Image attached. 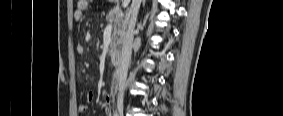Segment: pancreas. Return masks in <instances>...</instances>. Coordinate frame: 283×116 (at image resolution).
I'll list each match as a JSON object with an SVG mask.
<instances>
[{"label":"pancreas","mask_w":283,"mask_h":116,"mask_svg":"<svg viewBox=\"0 0 283 116\" xmlns=\"http://www.w3.org/2000/svg\"><path fill=\"white\" fill-rule=\"evenodd\" d=\"M106 20L112 24L113 31L111 36L110 52L116 49L117 45L122 43L128 23L127 15H124L117 7L110 10Z\"/></svg>","instance_id":"obj_1"}]
</instances>
